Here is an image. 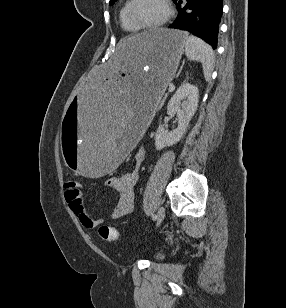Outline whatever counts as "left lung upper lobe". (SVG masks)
Wrapping results in <instances>:
<instances>
[{"instance_id": "obj_1", "label": "left lung upper lobe", "mask_w": 286, "mask_h": 308, "mask_svg": "<svg viewBox=\"0 0 286 308\" xmlns=\"http://www.w3.org/2000/svg\"><path fill=\"white\" fill-rule=\"evenodd\" d=\"M116 0H110V5L114 4Z\"/></svg>"}]
</instances>
